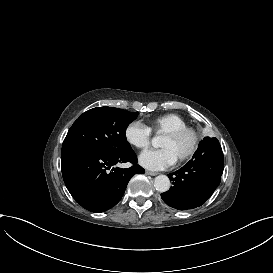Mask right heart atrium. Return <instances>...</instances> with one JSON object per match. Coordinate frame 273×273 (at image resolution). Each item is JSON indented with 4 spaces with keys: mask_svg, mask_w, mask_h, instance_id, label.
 I'll list each match as a JSON object with an SVG mask.
<instances>
[{
    "mask_svg": "<svg viewBox=\"0 0 273 273\" xmlns=\"http://www.w3.org/2000/svg\"><path fill=\"white\" fill-rule=\"evenodd\" d=\"M125 138L133 146L143 149L150 144L151 132L140 122H131L125 129Z\"/></svg>",
    "mask_w": 273,
    "mask_h": 273,
    "instance_id": "obj_1",
    "label": "right heart atrium"
}]
</instances>
